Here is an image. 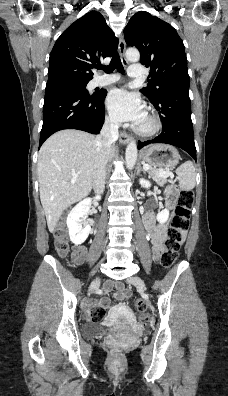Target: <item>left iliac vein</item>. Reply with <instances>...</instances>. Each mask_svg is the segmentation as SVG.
Returning <instances> with one entry per match:
<instances>
[{"instance_id": "1", "label": "left iliac vein", "mask_w": 228, "mask_h": 396, "mask_svg": "<svg viewBox=\"0 0 228 396\" xmlns=\"http://www.w3.org/2000/svg\"><path fill=\"white\" fill-rule=\"evenodd\" d=\"M129 282L143 290L146 289V285H145L144 281L138 276H134V277L130 278Z\"/></svg>"}]
</instances>
